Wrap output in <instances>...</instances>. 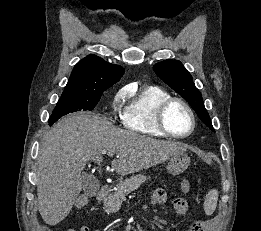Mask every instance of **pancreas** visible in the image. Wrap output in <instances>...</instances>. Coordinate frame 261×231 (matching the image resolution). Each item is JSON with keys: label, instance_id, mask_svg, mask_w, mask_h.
I'll use <instances>...</instances> for the list:
<instances>
[{"label": "pancreas", "instance_id": "1", "mask_svg": "<svg viewBox=\"0 0 261 231\" xmlns=\"http://www.w3.org/2000/svg\"><path fill=\"white\" fill-rule=\"evenodd\" d=\"M146 180V176L136 174L124 181H120L114 189V192L104 200L106 212H117L120 209L122 202L126 200V196L138 189Z\"/></svg>", "mask_w": 261, "mask_h": 231}]
</instances>
